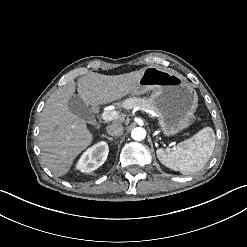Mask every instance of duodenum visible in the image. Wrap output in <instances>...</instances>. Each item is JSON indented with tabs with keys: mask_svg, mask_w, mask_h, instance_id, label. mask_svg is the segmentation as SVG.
<instances>
[{
	"mask_svg": "<svg viewBox=\"0 0 247 247\" xmlns=\"http://www.w3.org/2000/svg\"><path fill=\"white\" fill-rule=\"evenodd\" d=\"M93 111H94V112H97V108H93Z\"/></svg>",
	"mask_w": 247,
	"mask_h": 247,
	"instance_id": "410a0bca",
	"label": "duodenum"
}]
</instances>
